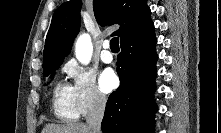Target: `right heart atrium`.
<instances>
[{"label": "right heart atrium", "instance_id": "right-heart-atrium-1", "mask_svg": "<svg viewBox=\"0 0 221 133\" xmlns=\"http://www.w3.org/2000/svg\"><path fill=\"white\" fill-rule=\"evenodd\" d=\"M63 70L72 81V95L79 115L104 109L107 99L99 89L93 71L73 61L66 63Z\"/></svg>", "mask_w": 221, "mask_h": 133}]
</instances>
